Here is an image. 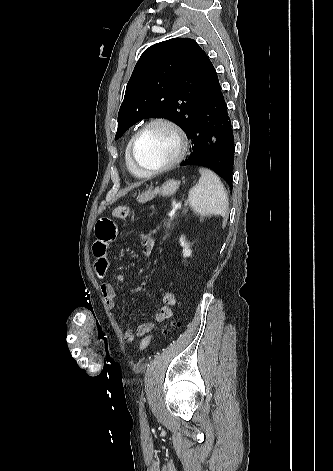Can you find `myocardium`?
Instances as JSON below:
<instances>
[{"label":"myocardium","instance_id":"f54148a6","mask_svg":"<svg viewBox=\"0 0 333 471\" xmlns=\"http://www.w3.org/2000/svg\"><path fill=\"white\" fill-rule=\"evenodd\" d=\"M154 125H163L168 127L173 133L176 135L178 140V152L176 156L170 160L169 162L155 168H145L139 164L136 158V147L141 138V136L152 126ZM189 147V141L186 133L184 130L174 121L164 118V117H156L150 119L145 124H143L133 135L130 146H129V157L132 165L138 170L142 175L151 176L158 173L165 172L176 165H178L185 157Z\"/></svg>","mask_w":333,"mask_h":471}]
</instances>
